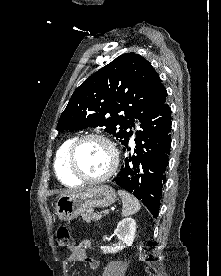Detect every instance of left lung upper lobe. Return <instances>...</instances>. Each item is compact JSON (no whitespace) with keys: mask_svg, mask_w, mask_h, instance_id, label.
Returning a JSON list of instances; mask_svg holds the SVG:
<instances>
[{"mask_svg":"<svg viewBox=\"0 0 221 276\" xmlns=\"http://www.w3.org/2000/svg\"><path fill=\"white\" fill-rule=\"evenodd\" d=\"M167 91L151 64L134 52L104 66L72 94L57 124L58 131L104 127L128 145L135 120L143 122L165 101Z\"/></svg>","mask_w":221,"mask_h":276,"instance_id":"left-lung-upper-lobe-1","label":"left lung upper lobe"}]
</instances>
